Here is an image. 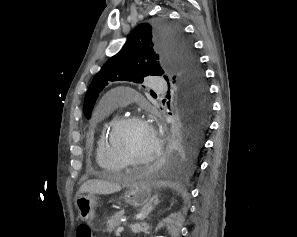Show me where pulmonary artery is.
Returning <instances> with one entry per match:
<instances>
[{"mask_svg": "<svg viewBox=\"0 0 297 237\" xmlns=\"http://www.w3.org/2000/svg\"><path fill=\"white\" fill-rule=\"evenodd\" d=\"M149 84L152 87V89H154L156 91H163V90L167 89V85L162 79L150 80ZM128 92H129V90H124L117 94H112V95L108 96L104 102V107H110V108L114 109L117 107L126 106L130 101V97L127 95L122 96V94H126Z\"/></svg>", "mask_w": 297, "mask_h": 237, "instance_id": "pulmonary-artery-1", "label": "pulmonary artery"}]
</instances>
